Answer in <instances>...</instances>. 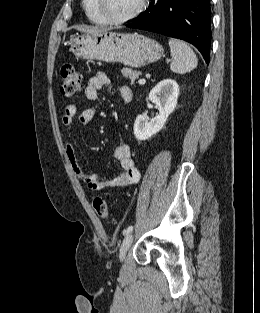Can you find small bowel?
Segmentation results:
<instances>
[{
	"label": "small bowel",
	"instance_id": "obj_1",
	"mask_svg": "<svg viewBox=\"0 0 260 313\" xmlns=\"http://www.w3.org/2000/svg\"><path fill=\"white\" fill-rule=\"evenodd\" d=\"M110 79L105 73H97L92 76L85 88V95L91 101H96L99 96V91L106 86L110 85ZM121 100L124 103L132 101V91L128 86H122L119 89ZM77 111L75 104H69L65 108V112L62 117V123L65 126H71ZM95 116L93 108H87L83 110L79 116V121L82 125H89ZM64 150L68 162L73 170L76 178L83 183L88 189L92 191H103L116 187H124L136 184L140 178V172L135 165L132 158L129 145L121 143L114 148V157L119 161L121 170L117 174H93L86 172L79 163L77 152L74 144L71 141H66L64 144Z\"/></svg>",
	"mask_w": 260,
	"mask_h": 313
}]
</instances>
